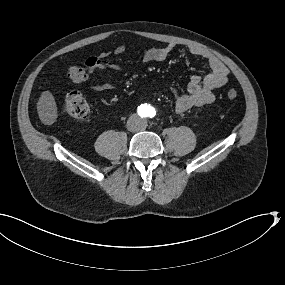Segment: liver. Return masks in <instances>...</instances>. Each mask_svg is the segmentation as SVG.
Masks as SVG:
<instances>
[{"label":"liver","instance_id":"obj_1","mask_svg":"<svg viewBox=\"0 0 285 285\" xmlns=\"http://www.w3.org/2000/svg\"><path fill=\"white\" fill-rule=\"evenodd\" d=\"M37 112L41 122L45 125H52L57 117V106L54 96L49 91L42 92L37 102Z\"/></svg>","mask_w":285,"mask_h":285}]
</instances>
